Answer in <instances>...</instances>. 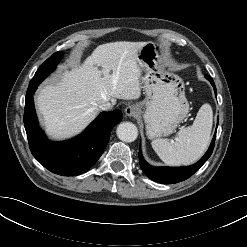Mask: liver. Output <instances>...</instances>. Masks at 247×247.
Segmentation results:
<instances>
[{"mask_svg": "<svg viewBox=\"0 0 247 247\" xmlns=\"http://www.w3.org/2000/svg\"><path fill=\"white\" fill-rule=\"evenodd\" d=\"M145 44L119 41L99 45L83 64L43 87L36 104L47 134L53 139L73 137L96 118L102 103L115 105L117 99L140 98L144 64L138 52Z\"/></svg>", "mask_w": 247, "mask_h": 247, "instance_id": "liver-1", "label": "liver"}]
</instances>
